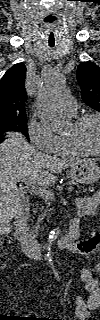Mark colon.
Returning <instances> with one entry per match:
<instances>
[{
	"label": "colon",
	"mask_w": 100,
	"mask_h": 320,
	"mask_svg": "<svg viewBox=\"0 0 100 320\" xmlns=\"http://www.w3.org/2000/svg\"><path fill=\"white\" fill-rule=\"evenodd\" d=\"M100 242V235L98 234H93L88 240L85 241L84 247L87 251L85 253H89L97 248ZM12 240L10 237L5 236L1 240V246L4 251V254H6L11 246ZM6 263V256L3 255L0 259V264L5 265ZM56 320H61V319H56Z\"/></svg>",
	"instance_id": "colon-1"
}]
</instances>
